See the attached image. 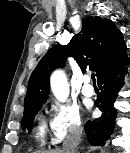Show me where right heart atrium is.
Here are the masks:
<instances>
[{
    "label": "right heart atrium",
    "mask_w": 130,
    "mask_h": 153,
    "mask_svg": "<svg viewBox=\"0 0 130 153\" xmlns=\"http://www.w3.org/2000/svg\"><path fill=\"white\" fill-rule=\"evenodd\" d=\"M51 110L50 131L53 144H61L80 133L82 121L77 107L70 104L54 103Z\"/></svg>",
    "instance_id": "1"
}]
</instances>
